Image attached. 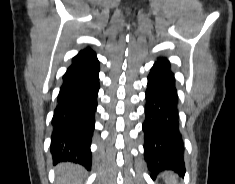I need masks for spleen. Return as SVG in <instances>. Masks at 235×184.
I'll use <instances>...</instances> for the list:
<instances>
[{
  "instance_id": "1",
  "label": "spleen",
  "mask_w": 235,
  "mask_h": 184,
  "mask_svg": "<svg viewBox=\"0 0 235 184\" xmlns=\"http://www.w3.org/2000/svg\"><path fill=\"white\" fill-rule=\"evenodd\" d=\"M161 178H163L165 184H178L177 176L173 172H163Z\"/></svg>"
}]
</instances>
